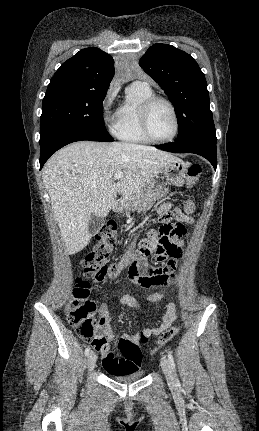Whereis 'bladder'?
Here are the masks:
<instances>
[{"instance_id":"1","label":"bladder","mask_w":259,"mask_h":431,"mask_svg":"<svg viewBox=\"0 0 259 431\" xmlns=\"http://www.w3.org/2000/svg\"><path fill=\"white\" fill-rule=\"evenodd\" d=\"M111 379L120 383H130L140 380L144 377L142 371H129V372H108Z\"/></svg>"}]
</instances>
